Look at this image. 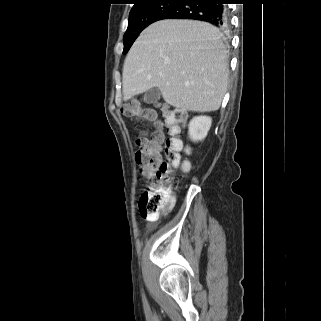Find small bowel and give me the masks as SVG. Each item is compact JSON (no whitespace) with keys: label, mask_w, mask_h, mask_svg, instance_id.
Returning a JSON list of instances; mask_svg holds the SVG:
<instances>
[{"label":"small bowel","mask_w":321,"mask_h":321,"mask_svg":"<svg viewBox=\"0 0 321 321\" xmlns=\"http://www.w3.org/2000/svg\"><path fill=\"white\" fill-rule=\"evenodd\" d=\"M161 148V147H160ZM157 219V217H153V218H147V220H149V221H154V220H156Z\"/></svg>","instance_id":"small-bowel-1"}]
</instances>
